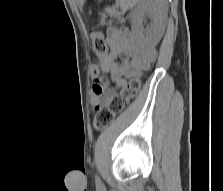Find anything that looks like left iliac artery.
Returning <instances> with one entry per match:
<instances>
[{
  "label": "left iliac artery",
  "instance_id": "obj_1",
  "mask_svg": "<svg viewBox=\"0 0 223 191\" xmlns=\"http://www.w3.org/2000/svg\"><path fill=\"white\" fill-rule=\"evenodd\" d=\"M96 182H97V185H101L99 177H96Z\"/></svg>",
  "mask_w": 223,
  "mask_h": 191
}]
</instances>
